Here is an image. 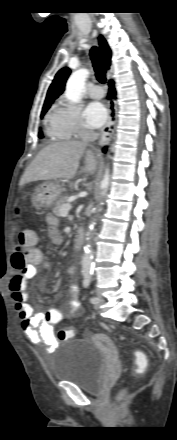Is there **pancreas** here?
Listing matches in <instances>:
<instances>
[{
	"label": "pancreas",
	"mask_w": 177,
	"mask_h": 440,
	"mask_svg": "<svg viewBox=\"0 0 177 440\" xmlns=\"http://www.w3.org/2000/svg\"><path fill=\"white\" fill-rule=\"evenodd\" d=\"M68 199V196H63L60 199H58L53 207V213L56 216H60V208L66 204V201Z\"/></svg>",
	"instance_id": "1"
}]
</instances>
